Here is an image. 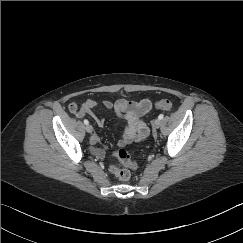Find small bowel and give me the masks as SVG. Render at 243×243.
<instances>
[{"label": "small bowel", "mask_w": 243, "mask_h": 243, "mask_svg": "<svg viewBox=\"0 0 243 243\" xmlns=\"http://www.w3.org/2000/svg\"><path fill=\"white\" fill-rule=\"evenodd\" d=\"M152 106V101L146 98L140 101L118 99L103 102V107L107 111L115 113L125 121L117 143L119 149H125L132 142L139 143L146 136V126L141 118L152 109ZM96 107L97 103L95 101L87 100L77 111V116L93 115ZM95 119L100 127L104 126V119L101 116H96ZM90 142L93 146L91 148L92 154L97 158H104L106 148L98 146L99 137L97 135L92 136ZM109 171L113 172L112 165H110Z\"/></svg>", "instance_id": "c3829d8e"}]
</instances>
